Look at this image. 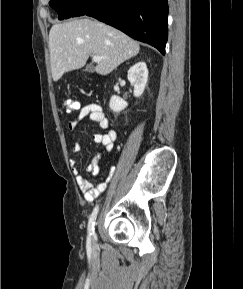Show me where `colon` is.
I'll return each mask as SVG.
<instances>
[{
    "label": "colon",
    "mask_w": 243,
    "mask_h": 289,
    "mask_svg": "<svg viewBox=\"0 0 243 289\" xmlns=\"http://www.w3.org/2000/svg\"><path fill=\"white\" fill-rule=\"evenodd\" d=\"M68 113H71L79 108V103L73 99H65L62 103Z\"/></svg>",
    "instance_id": "5ec220e1"
}]
</instances>
